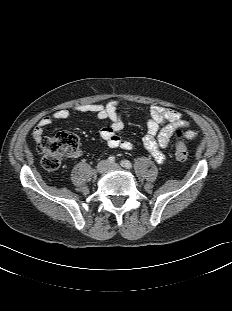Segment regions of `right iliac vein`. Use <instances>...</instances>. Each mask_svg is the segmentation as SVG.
I'll return each mask as SVG.
<instances>
[{
  "instance_id": "right-iliac-vein-1",
  "label": "right iliac vein",
  "mask_w": 232,
  "mask_h": 311,
  "mask_svg": "<svg viewBox=\"0 0 232 311\" xmlns=\"http://www.w3.org/2000/svg\"><path fill=\"white\" fill-rule=\"evenodd\" d=\"M108 168H109V163L107 161H101L96 167L99 173H104L105 171H107Z\"/></svg>"
}]
</instances>
